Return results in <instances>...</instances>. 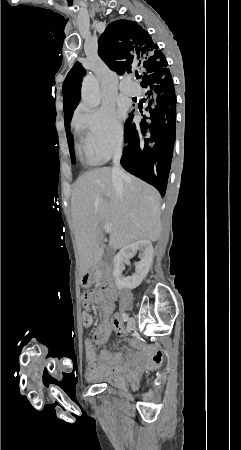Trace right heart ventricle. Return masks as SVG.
<instances>
[{"mask_svg":"<svg viewBox=\"0 0 241 450\" xmlns=\"http://www.w3.org/2000/svg\"><path fill=\"white\" fill-rule=\"evenodd\" d=\"M80 116H90V114H82ZM84 132L85 130H76V143H77V149L81 157L90 165H98L102 162V160L98 159L96 155H84L83 148H84Z\"/></svg>","mask_w":241,"mask_h":450,"instance_id":"e07e8e85","label":"right heart ventricle"}]
</instances>
